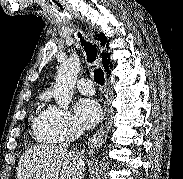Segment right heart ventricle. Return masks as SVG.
<instances>
[{"mask_svg":"<svg viewBox=\"0 0 183 179\" xmlns=\"http://www.w3.org/2000/svg\"><path fill=\"white\" fill-rule=\"evenodd\" d=\"M43 113H44V112L40 113V114L34 119L33 126H34L35 130H36L37 127H38V124H39V122H40V119H41ZM39 134H40V137H41V140H42V141H48V140H49V139H48L46 136H44L43 134H41V133H39Z\"/></svg>","mask_w":183,"mask_h":179,"instance_id":"e07e8e85","label":"right heart ventricle"}]
</instances>
